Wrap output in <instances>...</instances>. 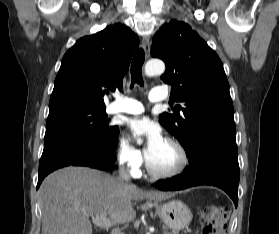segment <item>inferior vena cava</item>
Here are the masks:
<instances>
[{"label":"inferior vena cava","mask_w":279,"mask_h":234,"mask_svg":"<svg viewBox=\"0 0 279 234\" xmlns=\"http://www.w3.org/2000/svg\"><path fill=\"white\" fill-rule=\"evenodd\" d=\"M119 177L121 180H125V181H130V175L128 173V170L125 169V167H121L119 169ZM112 234H120L118 232H113Z\"/></svg>","instance_id":"obj_1"}]
</instances>
